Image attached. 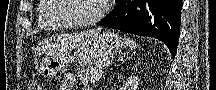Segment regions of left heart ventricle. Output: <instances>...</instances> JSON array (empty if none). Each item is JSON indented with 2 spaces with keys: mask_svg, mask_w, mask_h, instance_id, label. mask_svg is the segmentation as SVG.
<instances>
[{
  "mask_svg": "<svg viewBox=\"0 0 216 90\" xmlns=\"http://www.w3.org/2000/svg\"><path fill=\"white\" fill-rule=\"evenodd\" d=\"M71 6L69 13H64L72 21H86L96 16L102 6L99 0H67Z\"/></svg>",
  "mask_w": 216,
  "mask_h": 90,
  "instance_id": "b2bd125f",
  "label": "left heart ventricle"
}]
</instances>
